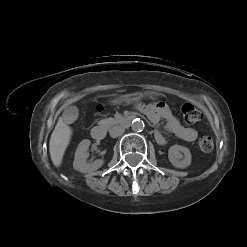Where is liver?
<instances>
[{
    "label": "liver",
    "instance_id": "obj_1",
    "mask_svg": "<svg viewBox=\"0 0 247 247\" xmlns=\"http://www.w3.org/2000/svg\"><path fill=\"white\" fill-rule=\"evenodd\" d=\"M72 128L60 117L51 134L49 152L54 166L59 167L62 163L65 151L70 143Z\"/></svg>",
    "mask_w": 247,
    "mask_h": 247
}]
</instances>
